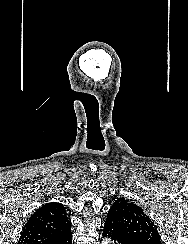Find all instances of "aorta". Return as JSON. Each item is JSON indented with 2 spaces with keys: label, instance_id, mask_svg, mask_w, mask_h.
<instances>
[{
  "label": "aorta",
  "instance_id": "762f6f07",
  "mask_svg": "<svg viewBox=\"0 0 188 244\" xmlns=\"http://www.w3.org/2000/svg\"><path fill=\"white\" fill-rule=\"evenodd\" d=\"M102 244H110L109 241H103Z\"/></svg>",
  "mask_w": 188,
  "mask_h": 244
}]
</instances>
